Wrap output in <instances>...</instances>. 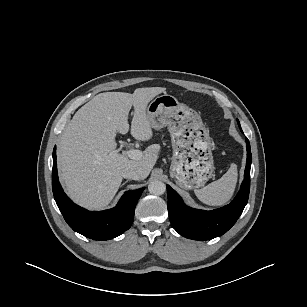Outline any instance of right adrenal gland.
<instances>
[{
    "label": "right adrenal gland",
    "mask_w": 307,
    "mask_h": 307,
    "mask_svg": "<svg viewBox=\"0 0 307 307\" xmlns=\"http://www.w3.org/2000/svg\"><path fill=\"white\" fill-rule=\"evenodd\" d=\"M129 181V179L128 180H126L122 185H124V184H126L127 182Z\"/></svg>",
    "instance_id": "2a0ac1e0"
}]
</instances>
